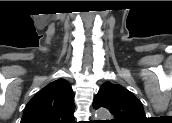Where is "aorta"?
I'll use <instances>...</instances> for the list:
<instances>
[{
	"mask_svg": "<svg viewBox=\"0 0 172 123\" xmlns=\"http://www.w3.org/2000/svg\"><path fill=\"white\" fill-rule=\"evenodd\" d=\"M95 117L98 120H105L107 118H110L111 116H110V113L108 112V110L101 108L95 112Z\"/></svg>",
	"mask_w": 172,
	"mask_h": 123,
	"instance_id": "obj_1",
	"label": "aorta"
}]
</instances>
